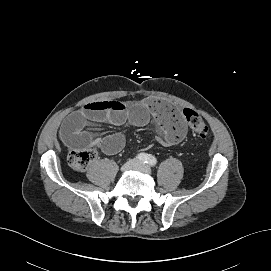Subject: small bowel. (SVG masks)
Instances as JSON below:
<instances>
[{
	"instance_id": "obj_1",
	"label": "small bowel",
	"mask_w": 271,
	"mask_h": 271,
	"mask_svg": "<svg viewBox=\"0 0 271 271\" xmlns=\"http://www.w3.org/2000/svg\"><path fill=\"white\" fill-rule=\"evenodd\" d=\"M150 115L163 132V145L173 146L183 140L187 132L184 116L174 107L157 99L147 100L131 109L115 100L88 103L63 122L60 136L70 148L93 146L105 154L113 155L124 146L123 134L113 133L103 138L96 137L87 129L89 122L119 126L129 121L135 126H144L148 123Z\"/></svg>"
}]
</instances>
